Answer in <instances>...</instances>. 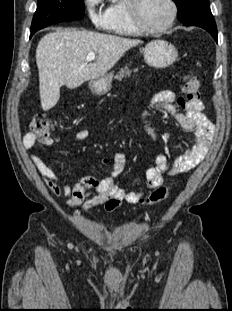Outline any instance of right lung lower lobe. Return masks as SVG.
I'll return each instance as SVG.
<instances>
[{
  "instance_id": "right-lung-lower-lobe-1",
  "label": "right lung lower lobe",
  "mask_w": 232,
  "mask_h": 311,
  "mask_svg": "<svg viewBox=\"0 0 232 311\" xmlns=\"http://www.w3.org/2000/svg\"><path fill=\"white\" fill-rule=\"evenodd\" d=\"M34 33H35L34 31H33V32L31 31V35H30V38L32 37V35H33Z\"/></svg>"
}]
</instances>
